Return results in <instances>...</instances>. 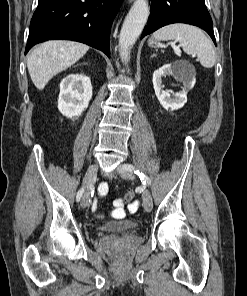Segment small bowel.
<instances>
[{
	"label": "small bowel",
	"instance_id": "obj_1",
	"mask_svg": "<svg viewBox=\"0 0 247 296\" xmlns=\"http://www.w3.org/2000/svg\"><path fill=\"white\" fill-rule=\"evenodd\" d=\"M108 190H109V188H108V184L107 183H101L100 184V186H99V188H98V195L99 196H104V195H106L107 193H108ZM118 199H116L115 201H114V206H115V209L112 211V216H114V214L116 213V212H118V211H121L122 213H123V210H122V206H120V205H117L116 204V201H117ZM138 206H139V203L138 202H134L131 206H130V209L131 210H133V211H135L137 208H138ZM92 209L94 210V211H97V209H98V204H97V197L94 199V202H93V205H92Z\"/></svg>",
	"mask_w": 247,
	"mask_h": 296
}]
</instances>
